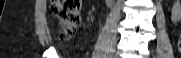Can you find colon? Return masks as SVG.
I'll list each match as a JSON object with an SVG mask.
<instances>
[{
	"instance_id": "obj_1",
	"label": "colon",
	"mask_w": 181,
	"mask_h": 58,
	"mask_svg": "<svg viewBox=\"0 0 181 58\" xmlns=\"http://www.w3.org/2000/svg\"><path fill=\"white\" fill-rule=\"evenodd\" d=\"M81 0H53L52 15L60 24L59 41L65 42L75 35L80 24ZM177 46L181 52V34Z\"/></svg>"
}]
</instances>
